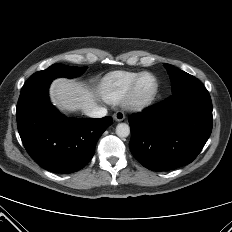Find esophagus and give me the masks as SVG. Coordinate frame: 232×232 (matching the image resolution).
Segmentation results:
<instances>
[{
  "label": "esophagus",
  "instance_id": "esophagus-1",
  "mask_svg": "<svg viewBox=\"0 0 232 232\" xmlns=\"http://www.w3.org/2000/svg\"><path fill=\"white\" fill-rule=\"evenodd\" d=\"M113 118H114L116 121L120 122V121H123V120L125 119V115H124L123 112L117 111V112L113 115Z\"/></svg>",
  "mask_w": 232,
  "mask_h": 232
}]
</instances>
